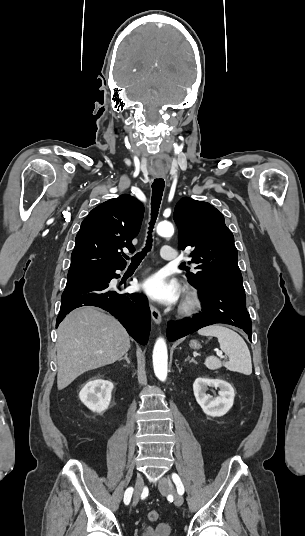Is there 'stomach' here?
<instances>
[{"label":"stomach","instance_id":"obj_1","mask_svg":"<svg viewBox=\"0 0 305 536\" xmlns=\"http://www.w3.org/2000/svg\"><path fill=\"white\" fill-rule=\"evenodd\" d=\"M189 346L190 348H193V350H198V348H200V344L197 340H191Z\"/></svg>","mask_w":305,"mask_h":536}]
</instances>
